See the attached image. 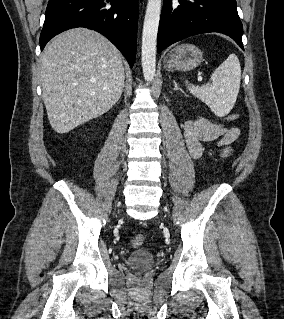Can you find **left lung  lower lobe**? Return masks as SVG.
<instances>
[{"label":"left lung lower lobe","mask_w":284,"mask_h":319,"mask_svg":"<svg viewBox=\"0 0 284 319\" xmlns=\"http://www.w3.org/2000/svg\"><path fill=\"white\" fill-rule=\"evenodd\" d=\"M218 32L231 37L243 50V26L236 0H164L157 51L196 34Z\"/></svg>","instance_id":"obj_1"}]
</instances>
